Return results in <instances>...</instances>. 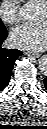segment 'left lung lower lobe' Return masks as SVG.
<instances>
[{"mask_svg":"<svg viewBox=\"0 0 47 129\" xmlns=\"http://www.w3.org/2000/svg\"><path fill=\"white\" fill-rule=\"evenodd\" d=\"M44 85H45V87L47 89V78L44 79Z\"/></svg>","mask_w":47,"mask_h":129,"instance_id":"0a47b994","label":"left lung lower lobe"}]
</instances>
